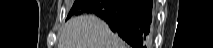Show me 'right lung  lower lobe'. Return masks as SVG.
<instances>
[{"label":"right lung lower lobe","instance_id":"obj_1","mask_svg":"<svg viewBox=\"0 0 213 48\" xmlns=\"http://www.w3.org/2000/svg\"><path fill=\"white\" fill-rule=\"evenodd\" d=\"M152 0H87L79 14L92 13L134 48H146Z\"/></svg>","mask_w":213,"mask_h":48}]
</instances>
